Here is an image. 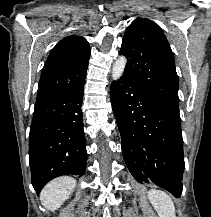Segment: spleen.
Instances as JSON below:
<instances>
[{
    "label": "spleen",
    "instance_id": "obj_1",
    "mask_svg": "<svg viewBox=\"0 0 211 217\" xmlns=\"http://www.w3.org/2000/svg\"><path fill=\"white\" fill-rule=\"evenodd\" d=\"M148 199L159 217H176L174 203L171 197L161 190H150Z\"/></svg>",
    "mask_w": 211,
    "mask_h": 217
}]
</instances>
